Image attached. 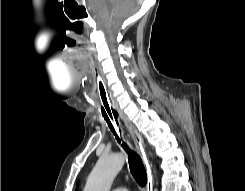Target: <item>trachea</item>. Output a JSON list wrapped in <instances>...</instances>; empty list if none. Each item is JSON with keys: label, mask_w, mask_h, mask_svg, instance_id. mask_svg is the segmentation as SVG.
I'll return each instance as SVG.
<instances>
[{"label": "trachea", "mask_w": 245, "mask_h": 191, "mask_svg": "<svg viewBox=\"0 0 245 191\" xmlns=\"http://www.w3.org/2000/svg\"><path fill=\"white\" fill-rule=\"evenodd\" d=\"M97 90L101 102L102 116L104 117L110 130L114 134L116 140L121 143L122 148L127 152L129 156V168L132 176L139 185L144 186L147 182V173L145 167L139 155L133 152L128 147L127 143L123 140L122 132L118 122V112L114 109L110 101L106 85L100 75H98L97 77Z\"/></svg>", "instance_id": "obj_1"}]
</instances>
